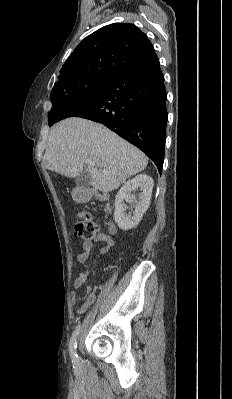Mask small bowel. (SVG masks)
I'll return each instance as SVG.
<instances>
[{
    "label": "small bowel",
    "instance_id": "obj_1",
    "mask_svg": "<svg viewBox=\"0 0 232 399\" xmlns=\"http://www.w3.org/2000/svg\"><path fill=\"white\" fill-rule=\"evenodd\" d=\"M111 247H112V242H107L106 244H104L101 247V249L99 251L100 254L105 255ZM92 249H93L92 242H90V241L83 242L82 251L80 252L79 257H78V261L81 264H84L87 261ZM86 279H87V272H85V271H80L78 273L77 278L74 279L73 293L70 295V305L72 307H75V305L79 299V289H80L81 285L86 281ZM92 292H93L92 285L91 284L87 285L86 286V293H87L86 298H85L84 302L82 303V305L76 309L77 313H79V314L84 313L86 311V309L92 304V302H93Z\"/></svg>",
    "mask_w": 232,
    "mask_h": 399
}]
</instances>
